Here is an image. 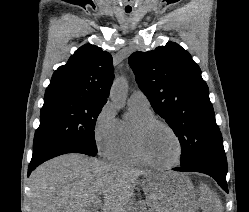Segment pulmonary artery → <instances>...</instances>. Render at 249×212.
Here are the masks:
<instances>
[{
  "mask_svg": "<svg viewBox=\"0 0 249 212\" xmlns=\"http://www.w3.org/2000/svg\"><path fill=\"white\" fill-rule=\"evenodd\" d=\"M122 56H126L128 54H121ZM129 104L133 106H137L140 108L148 109L150 108V102L146 95L141 90H135L130 98H129Z\"/></svg>",
  "mask_w": 249,
  "mask_h": 212,
  "instance_id": "1",
  "label": "pulmonary artery"
}]
</instances>
